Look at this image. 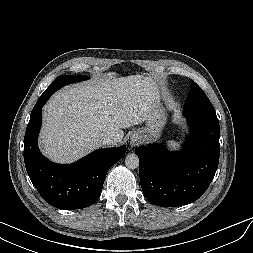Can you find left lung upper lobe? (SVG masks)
I'll return each mask as SVG.
<instances>
[{
  "instance_id": "5c2ea615",
  "label": "left lung upper lobe",
  "mask_w": 253,
  "mask_h": 253,
  "mask_svg": "<svg viewBox=\"0 0 253 253\" xmlns=\"http://www.w3.org/2000/svg\"><path fill=\"white\" fill-rule=\"evenodd\" d=\"M184 113L216 114L212 104L210 103V100L195 82L191 84L190 94L184 106Z\"/></svg>"
}]
</instances>
